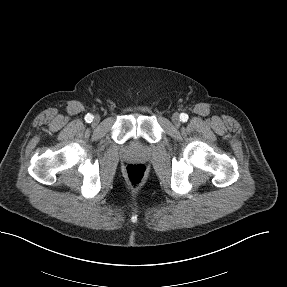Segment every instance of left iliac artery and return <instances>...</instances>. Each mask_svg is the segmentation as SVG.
I'll use <instances>...</instances> for the list:
<instances>
[{"label": "left iliac artery", "instance_id": "obj_1", "mask_svg": "<svg viewBox=\"0 0 287 287\" xmlns=\"http://www.w3.org/2000/svg\"><path fill=\"white\" fill-rule=\"evenodd\" d=\"M180 120L182 122H186L188 120V115L186 113H181L180 114Z\"/></svg>", "mask_w": 287, "mask_h": 287}]
</instances>
